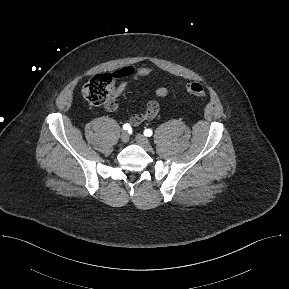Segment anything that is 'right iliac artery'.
I'll return each mask as SVG.
<instances>
[{
    "instance_id": "right-iliac-artery-1",
    "label": "right iliac artery",
    "mask_w": 289,
    "mask_h": 289,
    "mask_svg": "<svg viewBox=\"0 0 289 289\" xmlns=\"http://www.w3.org/2000/svg\"><path fill=\"white\" fill-rule=\"evenodd\" d=\"M123 129H124V130H130V129H131L130 124H128V123L124 124V125H123Z\"/></svg>"
}]
</instances>
